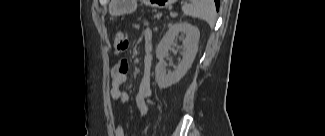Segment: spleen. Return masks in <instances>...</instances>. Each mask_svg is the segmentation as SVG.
<instances>
[{"label":"spleen","instance_id":"3e777b00","mask_svg":"<svg viewBox=\"0 0 325 136\" xmlns=\"http://www.w3.org/2000/svg\"><path fill=\"white\" fill-rule=\"evenodd\" d=\"M185 15L206 21L210 27L216 22V8L213 0H191L182 7Z\"/></svg>","mask_w":325,"mask_h":136}]
</instances>
